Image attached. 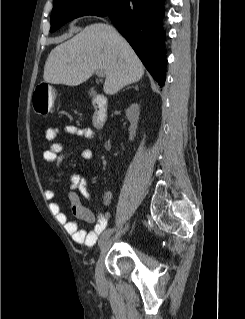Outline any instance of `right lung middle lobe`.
Here are the masks:
<instances>
[{
    "instance_id": "obj_1",
    "label": "right lung middle lobe",
    "mask_w": 245,
    "mask_h": 319,
    "mask_svg": "<svg viewBox=\"0 0 245 319\" xmlns=\"http://www.w3.org/2000/svg\"><path fill=\"white\" fill-rule=\"evenodd\" d=\"M122 0H54L51 29L54 32L74 18L84 15L108 16Z\"/></svg>"
}]
</instances>
